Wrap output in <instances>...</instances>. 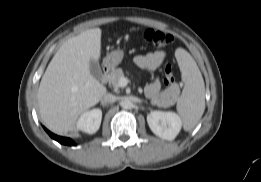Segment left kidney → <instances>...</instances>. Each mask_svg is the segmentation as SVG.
I'll list each match as a JSON object with an SVG mask.
<instances>
[{
  "instance_id": "5707ae66",
  "label": "left kidney",
  "mask_w": 261,
  "mask_h": 182,
  "mask_svg": "<svg viewBox=\"0 0 261 182\" xmlns=\"http://www.w3.org/2000/svg\"><path fill=\"white\" fill-rule=\"evenodd\" d=\"M147 123L155 135L165 140H174L182 127L181 118L170 111H151Z\"/></svg>"
}]
</instances>
